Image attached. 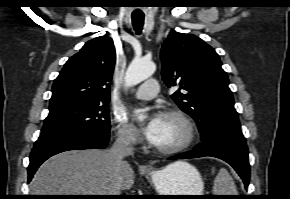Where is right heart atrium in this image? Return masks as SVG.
<instances>
[{
	"mask_svg": "<svg viewBox=\"0 0 290 199\" xmlns=\"http://www.w3.org/2000/svg\"><path fill=\"white\" fill-rule=\"evenodd\" d=\"M113 129L120 143L128 146H137L140 143L138 133L124 117L120 115L113 117Z\"/></svg>",
	"mask_w": 290,
	"mask_h": 199,
	"instance_id": "obj_1",
	"label": "right heart atrium"
}]
</instances>
